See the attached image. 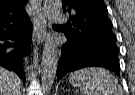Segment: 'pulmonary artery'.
Segmentation results:
<instances>
[{"label": "pulmonary artery", "mask_w": 135, "mask_h": 95, "mask_svg": "<svg viewBox=\"0 0 135 95\" xmlns=\"http://www.w3.org/2000/svg\"><path fill=\"white\" fill-rule=\"evenodd\" d=\"M54 18L57 23H64L67 19V17L64 14L59 12L55 13Z\"/></svg>", "instance_id": "obj_1"}]
</instances>
